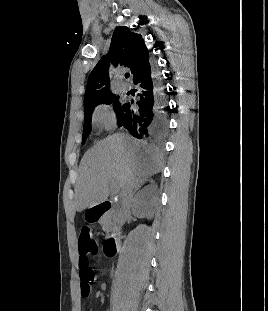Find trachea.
<instances>
[{"mask_svg": "<svg viewBox=\"0 0 268 311\" xmlns=\"http://www.w3.org/2000/svg\"><path fill=\"white\" fill-rule=\"evenodd\" d=\"M128 77H129V73H126V74H125V78H128Z\"/></svg>", "mask_w": 268, "mask_h": 311, "instance_id": "obj_1", "label": "trachea"}]
</instances>
